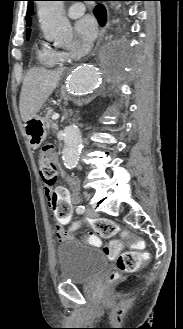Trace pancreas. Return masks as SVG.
Listing matches in <instances>:
<instances>
[{"label":"pancreas","mask_w":183,"mask_h":329,"mask_svg":"<svg viewBox=\"0 0 183 329\" xmlns=\"http://www.w3.org/2000/svg\"><path fill=\"white\" fill-rule=\"evenodd\" d=\"M52 114L53 112H49L46 117H45V124H46V127L47 129H53L54 132H56L58 130V125L57 123H54L52 120H51V117H52Z\"/></svg>","instance_id":"cf45deb5"}]
</instances>
